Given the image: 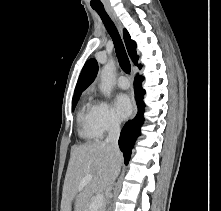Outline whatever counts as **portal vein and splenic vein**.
I'll return each mask as SVG.
<instances>
[{
    "mask_svg": "<svg viewBox=\"0 0 221 211\" xmlns=\"http://www.w3.org/2000/svg\"><path fill=\"white\" fill-rule=\"evenodd\" d=\"M92 180V176H86L83 178L79 184V190H82L90 181ZM103 204V195L102 194H97L92 202L90 203V210L91 211H96L98 208H100Z\"/></svg>",
    "mask_w": 221,
    "mask_h": 211,
    "instance_id": "1",
    "label": "portal vein and splenic vein"
}]
</instances>
